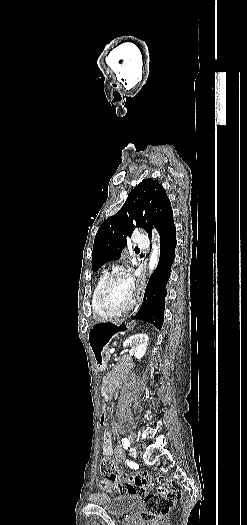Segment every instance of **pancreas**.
I'll use <instances>...</instances> for the list:
<instances>
[{
  "label": "pancreas",
  "mask_w": 247,
  "mask_h": 525,
  "mask_svg": "<svg viewBox=\"0 0 247 525\" xmlns=\"http://www.w3.org/2000/svg\"><path fill=\"white\" fill-rule=\"evenodd\" d=\"M103 353H104V355L102 356V359L104 361H107L108 359H110V354H109V349L108 348H105L103 350Z\"/></svg>",
  "instance_id": "1"
}]
</instances>
